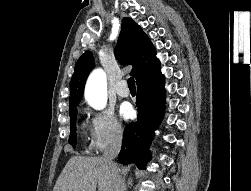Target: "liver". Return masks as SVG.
<instances>
[{
  "label": "liver",
  "instance_id": "liver-1",
  "mask_svg": "<svg viewBox=\"0 0 251 191\" xmlns=\"http://www.w3.org/2000/svg\"><path fill=\"white\" fill-rule=\"evenodd\" d=\"M118 163H107L102 157L72 155L62 169L53 191H116Z\"/></svg>",
  "mask_w": 251,
  "mask_h": 191
}]
</instances>
